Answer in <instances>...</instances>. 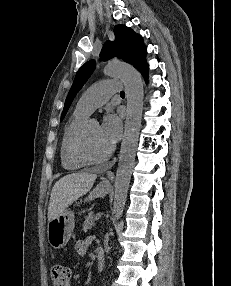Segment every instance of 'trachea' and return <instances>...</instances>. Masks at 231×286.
<instances>
[{
    "instance_id": "obj_1",
    "label": "trachea",
    "mask_w": 231,
    "mask_h": 286,
    "mask_svg": "<svg viewBox=\"0 0 231 286\" xmlns=\"http://www.w3.org/2000/svg\"><path fill=\"white\" fill-rule=\"evenodd\" d=\"M120 95H125V92H124V91H121V92H120Z\"/></svg>"
}]
</instances>
